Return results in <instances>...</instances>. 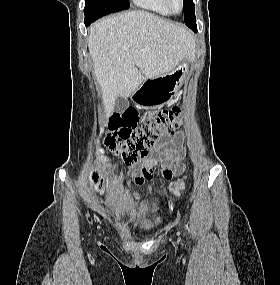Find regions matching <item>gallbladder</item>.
Instances as JSON below:
<instances>
[{"label": "gallbladder", "mask_w": 280, "mask_h": 285, "mask_svg": "<svg viewBox=\"0 0 280 285\" xmlns=\"http://www.w3.org/2000/svg\"><path fill=\"white\" fill-rule=\"evenodd\" d=\"M129 106V103L128 101L121 97V96H118L116 98V101H115V111L121 113L123 112L127 107Z\"/></svg>", "instance_id": "gallbladder-1"}]
</instances>
